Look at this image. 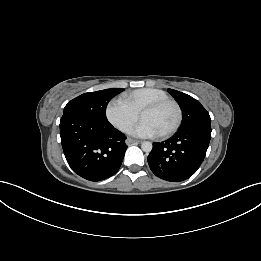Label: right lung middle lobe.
Returning a JSON list of instances; mask_svg holds the SVG:
<instances>
[{
    "label": "right lung middle lobe",
    "mask_w": 261,
    "mask_h": 261,
    "mask_svg": "<svg viewBox=\"0 0 261 261\" xmlns=\"http://www.w3.org/2000/svg\"><path fill=\"white\" fill-rule=\"evenodd\" d=\"M123 89H105L82 94L67 103L63 114H72L88 119L107 121L108 102Z\"/></svg>",
    "instance_id": "1"
}]
</instances>
